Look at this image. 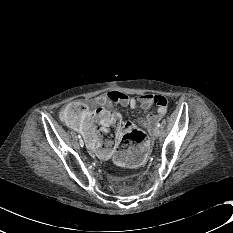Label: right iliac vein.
Masks as SVG:
<instances>
[{"mask_svg": "<svg viewBox=\"0 0 233 233\" xmlns=\"http://www.w3.org/2000/svg\"><path fill=\"white\" fill-rule=\"evenodd\" d=\"M79 144H80V146H81V145H83V146H84V142H83V140H80V141H79ZM81 147H82V146H81Z\"/></svg>", "mask_w": 233, "mask_h": 233, "instance_id": "obj_1", "label": "right iliac vein"}]
</instances>
